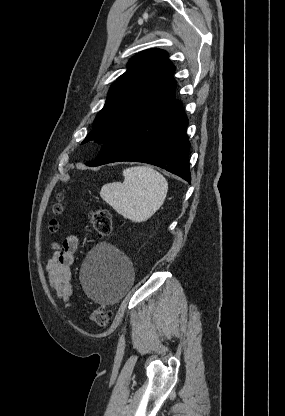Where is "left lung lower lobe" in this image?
<instances>
[{"mask_svg": "<svg viewBox=\"0 0 285 416\" xmlns=\"http://www.w3.org/2000/svg\"><path fill=\"white\" fill-rule=\"evenodd\" d=\"M188 119L175 99L120 129L87 166L118 161L144 162L164 168L191 181L186 136Z\"/></svg>", "mask_w": 285, "mask_h": 416, "instance_id": "0a47b994", "label": "left lung lower lobe"}]
</instances>
